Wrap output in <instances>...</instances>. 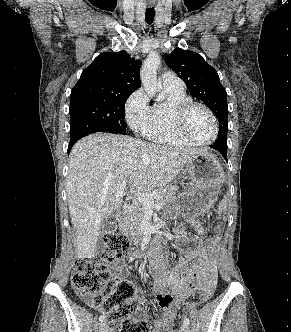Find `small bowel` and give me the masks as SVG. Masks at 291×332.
Segmentation results:
<instances>
[{
    "label": "small bowel",
    "instance_id": "small-bowel-1",
    "mask_svg": "<svg viewBox=\"0 0 291 332\" xmlns=\"http://www.w3.org/2000/svg\"><path fill=\"white\" fill-rule=\"evenodd\" d=\"M193 225L197 233H204L200 220H195ZM214 231L216 235L206 239L202 245L186 252L182 251L180 259L174 265L168 264L166 255L152 260L149 270L154 280L153 294L162 309V315L154 322L153 329L149 332H174L172 330L174 307L194 292L216 282L213 250L220 239L221 227L216 225ZM174 234L178 246L181 247L189 242L183 224L175 227ZM187 259L196 261L197 265L189 268L186 264ZM114 270L120 277L125 274L126 267L117 264ZM135 320L138 321V317H135Z\"/></svg>",
    "mask_w": 291,
    "mask_h": 332
}]
</instances>
